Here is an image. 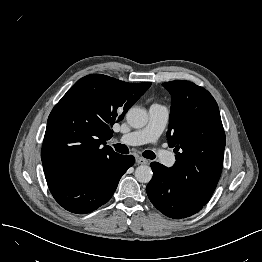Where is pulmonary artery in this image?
Here are the masks:
<instances>
[{
  "mask_svg": "<svg viewBox=\"0 0 262 262\" xmlns=\"http://www.w3.org/2000/svg\"><path fill=\"white\" fill-rule=\"evenodd\" d=\"M169 117L168 108L161 104H152L148 110V123L140 130L123 134L121 141L129 145H144L156 142L162 134ZM158 159L165 166L174 164V156L165 150H158Z\"/></svg>",
  "mask_w": 262,
  "mask_h": 262,
  "instance_id": "e3ab8cb5",
  "label": "pulmonary artery"
}]
</instances>
